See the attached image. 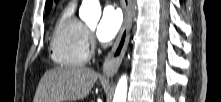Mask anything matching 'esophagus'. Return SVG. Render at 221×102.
I'll use <instances>...</instances> for the list:
<instances>
[{
    "instance_id": "obj_1",
    "label": "esophagus",
    "mask_w": 221,
    "mask_h": 102,
    "mask_svg": "<svg viewBox=\"0 0 221 102\" xmlns=\"http://www.w3.org/2000/svg\"><path fill=\"white\" fill-rule=\"evenodd\" d=\"M123 7L125 11L124 23L116 42L106 57L103 70L104 78H111L116 74L129 43L130 29L132 26V1L123 0Z\"/></svg>"
}]
</instances>
